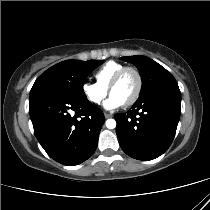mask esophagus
I'll use <instances>...</instances> for the list:
<instances>
[{
    "label": "esophagus",
    "mask_w": 210,
    "mask_h": 210,
    "mask_svg": "<svg viewBox=\"0 0 210 210\" xmlns=\"http://www.w3.org/2000/svg\"><path fill=\"white\" fill-rule=\"evenodd\" d=\"M104 116H105V118L107 119V118H111L112 117V115L111 114H109V113H105L104 114Z\"/></svg>",
    "instance_id": "obj_1"
}]
</instances>
